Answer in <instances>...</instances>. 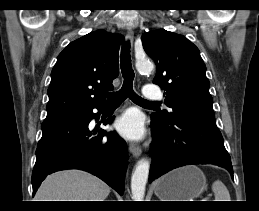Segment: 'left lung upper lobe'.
Returning a JSON list of instances; mask_svg holds the SVG:
<instances>
[{"label": "left lung upper lobe", "mask_w": 259, "mask_h": 211, "mask_svg": "<svg viewBox=\"0 0 259 211\" xmlns=\"http://www.w3.org/2000/svg\"><path fill=\"white\" fill-rule=\"evenodd\" d=\"M141 39L157 66L153 82L165 90V104L173 109L151 116L166 123L182 115L215 121L210 83L198 48L186 37L164 29L144 33Z\"/></svg>", "instance_id": "5c2ea615"}]
</instances>
